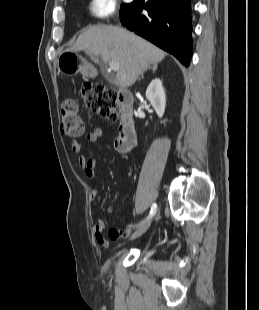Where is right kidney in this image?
<instances>
[{"label":"right kidney","mask_w":259,"mask_h":310,"mask_svg":"<svg viewBox=\"0 0 259 310\" xmlns=\"http://www.w3.org/2000/svg\"><path fill=\"white\" fill-rule=\"evenodd\" d=\"M146 98L149 100L159 118L164 115L166 97L162 81L153 79L146 90Z\"/></svg>","instance_id":"right-kidney-1"}]
</instances>
